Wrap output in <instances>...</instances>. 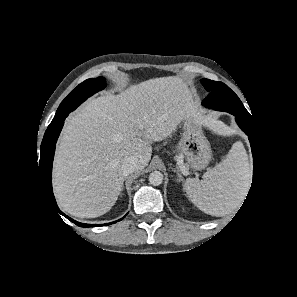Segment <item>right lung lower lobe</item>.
<instances>
[{"mask_svg":"<svg viewBox=\"0 0 297 297\" xmlns=\"http://www.w3.org/2000/svg\"><path fill=\"white\" fill-rule=\"evenodd\" d=\"M67 116H63L55 126L52 128H48L44 134V138L41 143L40 148V160H39V170L40 175L42 178V185L44 190L46 191V195H48V199L50 200L51 205L63 216L77 224L81 227H95V226H102V224H83L79 223L77 221H74L73 219L66 216L63 212H61L56 204L53 191H52V183H51V173H52V163H53V157L55 152V146L57 142V138L61 132V129L64 124V120ZM38 163V162H37ZM121 220V219H120ZM118 220V221H120ZM117 222V221H115ZM115 222L103 224V225H109L113 224Z\"/></svg>","mask_w":297,"mask_h":297,"instance_id":"1","label":"right lung lower lobe"}]
</instances>
